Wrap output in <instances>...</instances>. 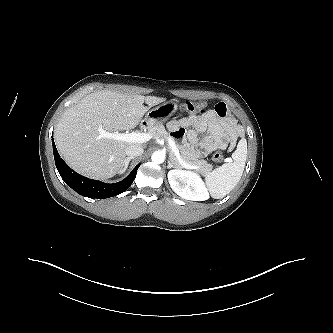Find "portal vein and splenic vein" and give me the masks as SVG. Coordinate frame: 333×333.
I'll list each match as a JSON object with an SVG mask.
<instances>
[{
    "label": "portal vein and splenic vein",
    "mask_w": 333,
    "mask_h": 333,
    "mask_svg": "<svg viewBox=\"0 0 333 333\" xmlns=\"http://www.w3.org/2000/svg\"><path fill=\"white\" fill-rule=\"evenodd\" d=\"M101 137H106L109 139L117 140V141H125V142H133V143H146L153 138V135L150 133H139V132H132V133H118V132H107L102 130ZM169 146L171 147L172 151L176 155L178 162L185 168L197 169L198 167L187 165L180 157L179 150L175 145V142L172 138L167 139ZM226 162L231 161L230 158L225 160Z\"/></svg>",
    "instance_id": "18ae733b"
}]
</instances>
